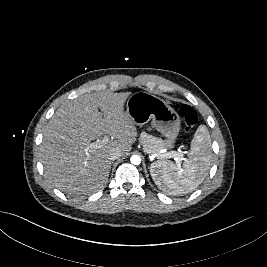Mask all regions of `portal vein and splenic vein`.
<instances>
[{
	"label": "portal vein and splenic vein",
	"mask_w": 267,
	"mask_h": 267,
	"mask_svg": "<svg viewBox=\"0 0 267 267\" xmlns=\"http://www.w3.org/2000/svg\"><path fill=\"white\" fill-rule=\"evenodd\" d=\"M109 141V137L108 136H104L102 138V140H97L94 143H90L88 145V148H97L100 144L102 143H107ZM161 157H165V158H174L176 160V162L180 163L184 158H183V154L180 152H176V151H170L164 155H160Z\"/></svg>",
	"instance_id": "obj_1"
}]
</instances>
